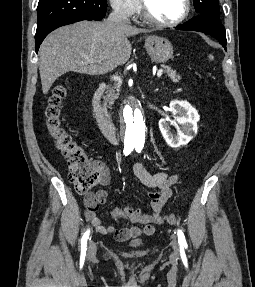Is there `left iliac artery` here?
Listing matches in <instances>:
<instances>
[{
	"label": "left iliac artery",
	"mask_w": 255,
	"mask_h": 287,
	"mask_svg": "<svg viewBox=\"0 0 255 287\" xmlns=\"http://www.w3.org/2000/svg\"><path fill=\"white\" fill-rule=\"evenodd\" d=\"M141 150H142L141 148H136L137 152H141ZM177 235H178V242H179L180 246H186L187 243H186L185 236H184L183 232L181 230H178Z\"/></svg>",
	"instance_id": "44dca946"
}]
</instances>
